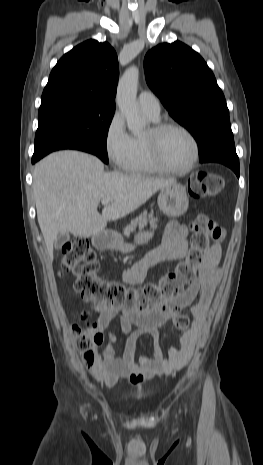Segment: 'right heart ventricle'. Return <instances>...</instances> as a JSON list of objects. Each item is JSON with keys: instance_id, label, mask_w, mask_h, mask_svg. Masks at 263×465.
I'll return each mask as SVG.
<instances>
[{"instance_id": "1", "label": "right heart ventricle", "mask_w": 263, "mask_h": 465, "mask_svg": "<svg viewBox=\"0 0 263 465\" xmlns=\"http://www.w3.org/2000/svg\"><path fill=\"white\" fill-rule=\"evenodd\" d=\"M153 123H157L159 118L155 119L147 116ZM126 170L134 174H150L161 172L152 162L148 148L142 135L132 136V151Z\"/></svg>"}]
</instances>
